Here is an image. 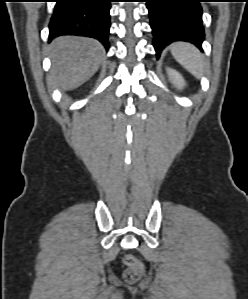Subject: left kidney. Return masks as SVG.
Segmentation results:
<instances>
[{
	"mask_svg": "<svg viewBox=\"0 0 248 299\" xmlns=\"http://www.w3.org/2000/svg\"><path fill=\"white\" fill-rule=\"evenodd\" d=\"M167 73L171 82L175 85V87H177L178 89H182L185 86V80L179 72L167 68Z\"/></svg>",
	"mask_w": 248,
	"mask_h": 299,
	"instance_id": "obj_1",
	"label": "left kidney"
}]
</instances>
